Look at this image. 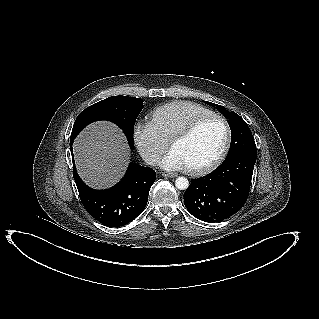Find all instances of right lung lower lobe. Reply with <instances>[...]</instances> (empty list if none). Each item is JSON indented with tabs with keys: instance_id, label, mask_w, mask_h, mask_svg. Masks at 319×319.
Masks as SVG:
<instances>
[{
	"instance_id": "obj_1",
	"label": "right lung lower lobe",
	"mask_w": 319,
	"mask_h": 319,
	"mask_svg": "<svg viewBox=\"0 0 319 319\" xmlns=\"http://www.w3.org/2000/svg\"><path fill=\"white\" fill-rule=\"evenodd\" d=\"M73 140H70L72 150ZM73 177L79 196L87 212L100 223L110 227H121L142 213L145 209L149 190L155 181L151 168L130 163L122 180L110 189L94 190L88 187L77 174L74 158Z\"/></svg>"
}]
</instances>
